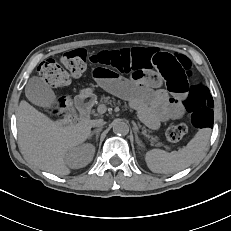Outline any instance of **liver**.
I'll return each instance as SVG.
<instances>
[{
  "instance_id": "obj_1",
  "label": "liver",
  "mask_w": 231,
  "mask_h": 231,
  "mask_svg": "<svg viewBox=\"0 0 231 231\" xmlns=\"http://www.w3.org/2000/svg\"><path fill=\"white\" fill-rule=\"evenodd\" d=\"M92 121L63 125L22 100L17 111L20 147L42 170L59 176L68 175L67 156L90 137Z\"/></svg>"
}]
</instances>
